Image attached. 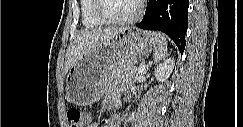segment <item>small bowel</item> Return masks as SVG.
<instances>
[{
    "label": "small bowel",
    "mask_w": 243,
    "mask_h": 127,
    "mask_svg": "<svg viewBox=\"0 0 243 127\" xmlns=\"http://www.w3.org/2000/svg\"><path fill=\"white\" fill-rule=\"evenodd\" d=\"M105 103L109 106H117L118 99H117V93L115 90H111L108 94ZM105 124L109 127H117L118 123L115 121H105ZM85 126L87 127H97L98 123L94 122L90 115H86L85 117Z\"/></svg>",
    "instance_id": "small-bowel-1"
}]
</instances>
